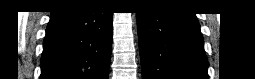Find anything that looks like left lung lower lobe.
Masks as SVG:
<instances>
[{"label":"left lung lower lobe","instance_id":"1","mask_svg":"<svg viewBox=\"0 0 255 79\" xmlns=\"http://www.w3.org/2000/svg\"><path fill=\"white\" fill-rule=\"evenodd\" d=\"M136 13L143 79H208V61L195 14L170 6Z\"/></svg>","mask_w":255,"mask_h":79}]
</instances>
